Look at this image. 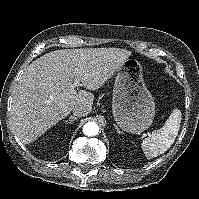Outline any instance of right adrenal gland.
I'll return each mask as SVG.
<instances>
[{"mask_svg":"<svg viewBox=\"0 0 199 199\" xmlns=\"http://www.w3.org/2000/svg\"><path fill=\"white\" fill-rule=\"evenodd\" d=\"M77 119L76 116H70L68 120H64L65 123L73 124V122Z\"/></svg>","mask_w":199,"mask_h":199,"instance_id":"2a0ac1e0","label":"right adrenal gland"}]
</instances>
